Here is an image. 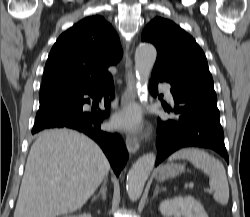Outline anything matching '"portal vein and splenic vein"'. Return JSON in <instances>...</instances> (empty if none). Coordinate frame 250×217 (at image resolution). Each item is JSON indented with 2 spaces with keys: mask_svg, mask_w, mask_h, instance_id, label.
<instances>
[{
  "mask_svg": "<svg viewBox=\"0 0 250 217\" xmlns=\"http://www.w3.org/2000/svg\"><path fill=\"white\" fill-rule=\"evenodd\" d=\"M189 187L192 188V187H193V183H190V184H189ZM205 190H206L207 192H209V193H212V192H213V190L210 189V188H206Z\"/></svg>",
  "mask_w": 250,
  "mask_h": 217,
  "instance_id": "1",
  "label": "portal vein and splenic vein"
}]
</instances>
